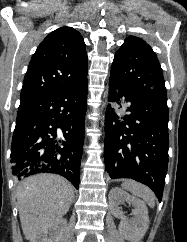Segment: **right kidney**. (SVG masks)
I'll list each match as a JSON object with an SVG mask.
<instances>
[{
	"instance_id": "ca27d5eb",
	"label": "right kidney",
	"mask_w": 187,
	"mask_h": 242,
	"mask_svg": "<svg viewBox=\"0 0 187 242\" xmlns=\"http://www.w3.org/2000/svg\"><path fill=\"white\" fill-rule=\"evenodd\" d=\"M66 225V219H59L56 223L43 230L33 242H59Z\"/></svg>"
}]
</instances>
